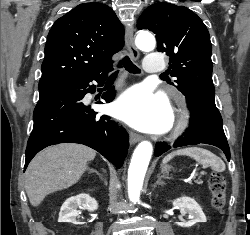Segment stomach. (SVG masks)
Returning a JSON list of instances; mask_svg holds the SVG:
<instances>
[{"mask_svg":"<svg viewBox=\"0 0 250 235\" xmlns=\"http://www.w3.org/2000/svg\"><path fill=\"white\" fill-rule=\"evenodd\" d=\"M170 169H171V167L168 166V165H166V164H164V165L161 166L162 172H168Z\"/></svg>","mask_w":250,"mask_h":235,"instance_id":"obj_1","label":"stomach"}]
</instances>
